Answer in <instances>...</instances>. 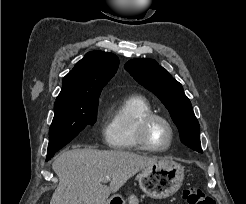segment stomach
<instances>
[{
    "label": "stomach",
    "instance_id": "0dacf381",
    "mask_svg": "<svg viewBox=\"0 0 246 204\" xmlns=\"http://www.w3.org/2000/svg\"><path fill=\"white\" fill-rule=\"evenodd\" d=\"M184 179V168L179 163L169 160H160L142 170L138 176L142 191L154 199L167 198L176 193ZM130 204H136L138 199L129 195ZM105 204H126L121 195L111 196Z\"/></svg>",
    "mask_w": 246,
    "mask_h": 204
}]
</instances>
